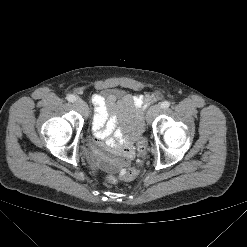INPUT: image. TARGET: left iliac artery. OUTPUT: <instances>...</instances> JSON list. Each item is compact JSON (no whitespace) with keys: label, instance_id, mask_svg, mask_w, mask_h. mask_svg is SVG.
Here are the masks:
<instances>
[{"label":"left iliac artery","instance_id":"1","mask_svg":"<svg viewBox=\"0 0 247 247\" xmlns=\"http://www.w3.org/2000/svg\"><path fill=\"white\" fill-rule=\"evenodd\" d=\"M160 107H161L162 109H167V108L170 107V102L164 101V102L161 103Z\"/></svg>","mask_w":247,"mask_h":247}]
</instances>
